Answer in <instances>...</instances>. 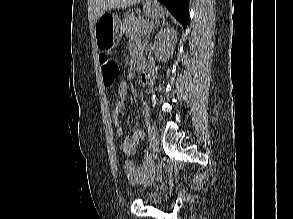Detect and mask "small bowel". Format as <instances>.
Here are the masks:
<instances>
[{"instance_id": "1", "label": "small bowel", "mask_w": 293, "mask_h": 219, "mask_svg": "<svg viewBox=\"0 0 293 219\" xmlns=\"http://www.w3.org/2000/svg\"><path fill=\"white\" fill-rule=\"evenodd\" d=\"M133 50H134V58L137 63L141 62V57L139 56L138 53V47L136 44L132 45ZM147 80V74H144L142 76V83H145ZM119 93H120V98L115 102V108L113 110L112 116H113V122L114 125L116 126V132L118 136L123 135V131L119 127V114L122 112V110L125 108V98L127 94V85L125 82H122L119 86ZM144 132L140 128H135L133 130L132 137L125 138L121 145L120 148L122 152L126 155H132L136 152L138 145L140 142L144 139Z\"/></svg>"}]
</instances>
